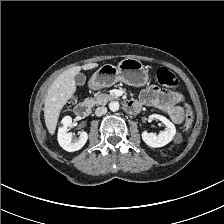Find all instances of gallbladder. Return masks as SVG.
I'll return each mask as SVG.
<instances>
[{
    "label": "gallbladder",
    "mask_w": 224,
    "mask_h": 224,
    "mask_svg": "<svg viewBox=\"0 0 224 224\" xmlns=\"http://www.w3.org/2000/svg\"><path fill=\"white\" fill-rule=\"evenodd\" d=\"M86 82V76L85 74L83 73H78L76 76H75V83L78 85V86H83Z\"/></svg>",
    "instance_id": "bac80fb5"
}]
</instances>
